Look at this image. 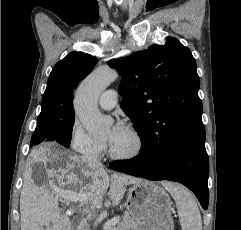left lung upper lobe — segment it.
<instances>
[{"instance_id":"obj_1","label":"left lung upper lobe","mask_w":241,"mask_h":230,"mask_svg":"<svg viewBox=\"0 0 241 230\" xmlns=\"http://www.w3.org/2000/svg\"><path fill=\"white\" fill-rule=\"evenodd\" d=\"M109 65L122 74L121 108L141 142L205 141L200 78L189 48L176 38L152 45Z\"/></svg>"}]
</instances>
